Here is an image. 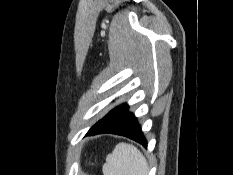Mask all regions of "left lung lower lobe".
Instances as JSON below:
<instances>
[{"label":"left lung lower lobe","instance_id":"1","mask_svg":"<svg viewBox=\"0 0 233 175\" xmlns=\"http://www.w3.org/2000/svg\"><path fill=\"white\" fill-rule=\"evenodd\" d=\"M127 104L120 105L98 121L86 135L111 133L128 137L147 147V141L134 114L127 112Z\"/></svg>","mask_w":233,"mask_h":175}]
</instances>
